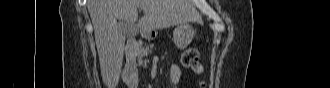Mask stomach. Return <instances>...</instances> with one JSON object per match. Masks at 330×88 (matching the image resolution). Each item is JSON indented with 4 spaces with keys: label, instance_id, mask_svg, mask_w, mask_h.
Instances as JSON below:
<instances>
[{
    "label": "stomach",
    "instance_id": "obj_1",
    "mask_svg": "<svg viewBox=\"0 0 330 88\" xmlns=\"http://www.w3.org/2000/svg\"><path fill=\"white\" fill-rule=\"evenodd\" d=\"M195 35V30L192 26L188 24H181L177 26L173 31V40L175 45L183 50L187 48V46L191 43L193 40V37ZM146 37L148 39L152 38V34H147Z\"/></svg>",
    "mask_w": 330,
    "mask_h": 88
}]
</instances>
